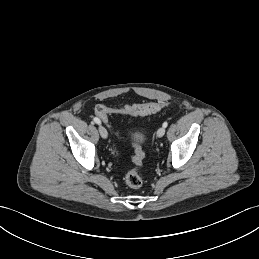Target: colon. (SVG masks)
Returning a JSON list of instances; mask_svg holds the SVG:
<instances>
[{"instance_id":"5ec220e1","label":"colon","mask_w":259,"mask_h":259,"mask_svg":"<svg viewBox=\"0 0 259 259\" xmlns=\"http://www.w3.org/2000/svg\"><path fill=\"white\" fill-rule=\"evenodd\" d=\"M162 106L163 104L159 102L128 105L122 107H108L100 105L96 108V114L104 123L108 124V116L111 114L146 115L157 112L162 108ZM144 157L145 153L143 149L140 146H136L134 155L132 157V162L135 165V168L130 170L125 176V182L130 188L137 189L140 188L143 184L140 168L142 166Z\"/></svg>"}]
</instances>
